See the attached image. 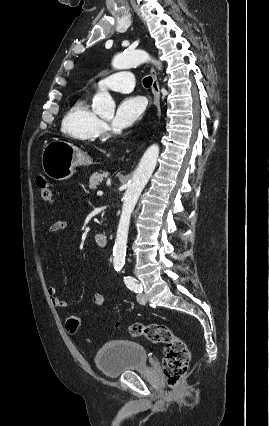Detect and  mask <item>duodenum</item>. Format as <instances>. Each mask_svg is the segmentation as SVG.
<instances>
[{"label": "duodenum", "mask_w": 269, "mask_h": 426, "mask_svg": "<svg viewBox=\"0 0 269 426\" xmlns=\"http://www.w3.org/2000/svg\"><path fill=\"white\" fill-rule=\"evenodd\" d=\"M95 242L99 247L105 248L108 244V237L103 233H98L95 235Z\"/></svg>", "instance_id": "obj_1"}]
</instances>
